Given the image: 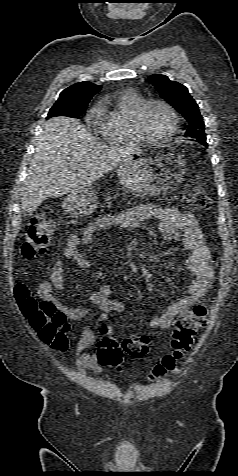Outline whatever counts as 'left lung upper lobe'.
<instances>
[{"mask_svg": "<svg viewBox=\"0 0 238 476\" xmlns=\"http://www.w3.org/2000/svg\"><path fill=\"white\" fill-rule=\"evenodd\" d=\"M149 79L161 97L169 102L189 122L190 128L187 129L186 135L196 138L206 146L203 118L196 101L189 94L188 89L178 82L171 81L165 75L154 74Z\"/></svg>", "mask_w": 238, "mask_h": 476, "instance_id": "obj_1", "label": "left lung upper lobe"}]
</instances>
